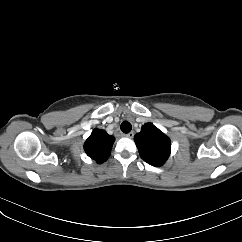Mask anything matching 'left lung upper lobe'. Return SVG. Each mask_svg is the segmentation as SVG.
I'll use <instances>...</instances> for the list:
<instances>
[{
    "instance_id": "obj_1",
    "label": "left lung upper lobe",
    "mask_w": 242,
    "mask_h": 242,
    "mask_svg": "<svg viewBox=\"0 0 242 242\" xmlns=\"http://www.w3.org/2000/svg\"><path fill=\"white\" fill-rule=\"evenodd\" d=\"M134 141L141 158L150 165L162 166L170 155V139L152 123L144 124Z\"/></svg>"
}]
</instances>
